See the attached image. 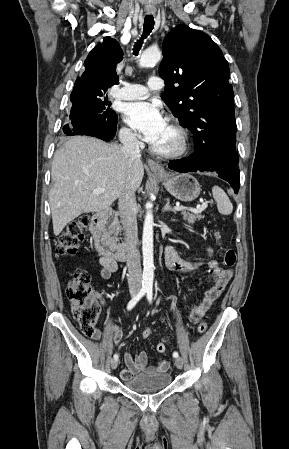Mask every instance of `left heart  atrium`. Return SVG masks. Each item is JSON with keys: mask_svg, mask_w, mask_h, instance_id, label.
I'll list each match as a JSON object with an SVG mask.
<instances>
[{"mask_svg": "<svg viewBox=\"0 0 289 449\" xmlns=\"http://www.w3.org/2000/svg\"><path fill=\"white\" fill-rule=\"evenodd\" d=\"M124 119L144 141L152 145L167 126L159 106L146 101L128 103L124 108Z\"/></svg>", "mask_w": 289, "mask_h": 449, "instance_id": "left-heart-atrium-1", "label": "left heart atrium"}]
</instances>
